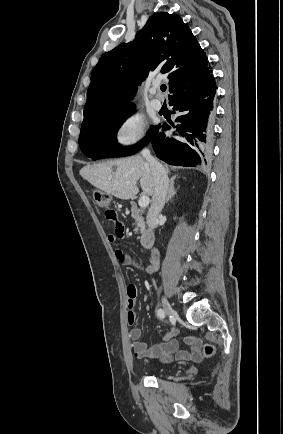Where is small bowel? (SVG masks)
<instances>
[{
    "label": "small bowel",
    "mask_w": 283,
    "mask_h": 434,
    "mask_svg": "<svg viewBox=\"0 0 283 434\" xmlns=\"http://www.w3.org/2000/svg\"><path fill=\"white\" fill-rule=\"evenodd\" d=\"M106 218L115 222V228L108 234V240L110 242H116L119 239L125 237L124 226L118 221L116 213L112 209H107L105 212ZM117 257L123 261L125 265L133 266L140 271L152 274L157 266V256L154 252L150 258V265L143 267L131 257L124 255L121 250H117ZM137 287L134 284H130L127 287V322L131 326L129 331V337L131 340L132 348L136 358H161L163 361H169L172 358L177 360H192L198 361L201 359V341L194 336H187L184 339L186 348L183 350L178 349V342L175 336L178 334V328H173L171 332L163 338V340L155 345L149 346L147 343L141 341L142 330L136 326V313L134 311L135 301L137 297Z\"/></svg>",
    "instance_id": "small-bowel-1"
}]
</instances>
